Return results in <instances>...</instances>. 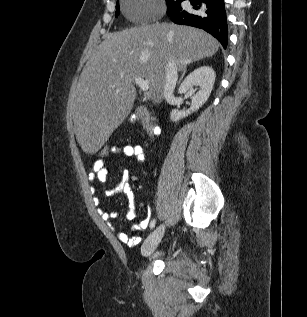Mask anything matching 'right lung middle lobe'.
<instances>
[{"label":"right lung middle lobe","instance_id":"right-lung-middle-lobe-1","mask_svg":"<svg viewBox=\"0 0 307 317\" xmlns=\"http://www.w3.org/2000/svg\"><path fill=\"white\" fill-rule=\"evenodd\" d=\"M166 2H167V6H169L172 2H173V0H166ZM116 13H115V16H117L118 14H119V2L117 1V4H116Z\"/></svg>","mask_w":307,"mask_h":317}]
</instances>
